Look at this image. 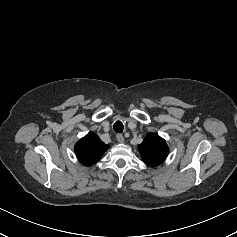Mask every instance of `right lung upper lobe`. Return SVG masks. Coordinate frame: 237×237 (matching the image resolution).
I'll list each match as a JSON object with an SVG mask.
<instances>
[{"instance_id":"1","label":"right lung upper lobe","mask_w":237,"mask_h":237,"mask_svg":"<svg viewBox=\"0 0 237 237\" xmlns=\"http://www.w3.org/2000/svg\"><path fill=\"white\" fill-rule=\"evenodd\" d=\"M108 148L109 145L102 142L93 132L81 138L74 147L77 158L86 166L97 162Z\"/></svg>"}]
</instances>
